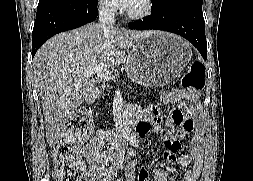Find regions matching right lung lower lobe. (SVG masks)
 I'll return each instance as SVG.
<instances>
[{
  "mask_svg": "<svg viewBox=\"0 0 253 181\" xmlns=\"http://www.w3.org/2000/svg\"><path fill=\"white\" fill-rule=\"evenodd\" d=\"M97 3L91 0H62L37 8L32 32V58L53 35L95 20L98 15Z\"/></svg>",
  "mask_w": 253,
  "mask_h": 181,
  "instance_id": "right-lung-lower-lobe-1",
  "label": "right lung lower lobe"
}]
</instances>
